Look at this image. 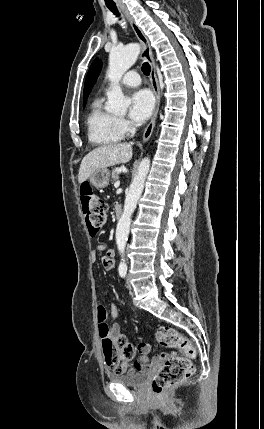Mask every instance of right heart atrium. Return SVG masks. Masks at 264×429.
Instances as JSON below:
<instances>
[{
	"mask_svg": "<svg viewBox=\"0 0 264 429\" xmlns=\"http://www.w3.org/2000/svg\"><path fill=\"white\" fill-rule=\"evenodd\" d=\"M120 125L124 132H128L130 130V124L128 121L120 119Z\"/></svg>",
	"mask_w": 264,
	"mask_h": 429,
	"instance_id": "d8ad5b80",
	"label": "right heart atrium"
}]
</instances>
